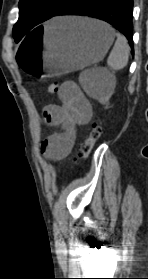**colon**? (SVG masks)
I'll return each instance as SVG.
<instances>
[{
    "label": "colon",
    "instance_id": "5ec220e1",
    "mask_svg": "<svg viewBox=\"0 0 148 279\" xmlns=\"http://www.w3.org/2000/svg\"><path fill=\"white\" fill-rule=\"evenodd\" d=\"M48 92L51 94H56L59 92V84L54 82L48 86ZM101 134V127L98 122L92 123L84 141L80 145V152L79 156L82 159L88 158L90 155L94 145L96 144L97 140L99 139Z\"/></svg>",
    "mask_w": 148,
    "mask_h": 279
}]
</instances>
